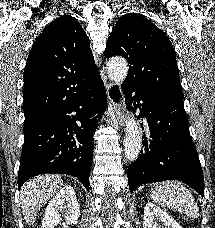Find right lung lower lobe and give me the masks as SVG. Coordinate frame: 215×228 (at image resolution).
I'll use <instances>...</instances> for the list:
<instances>
[{"label": "right lung lower lobe", "mask_w": 215, "mask_h": 228, "mask_svg": "<svg viewBox=\"0 0 215 228\" xmlns=\"http://www.w3.org/2000/svg\"><path fill=\"white\" fill-rule=\"evenodd\" d=\"M107 96L100 74L79 86L62 107L24 125L18 188L44 173L77 177L89 191L93 134L106 109Z\"/></svg>", "instance_id": "obj_1"}]
</instances>
